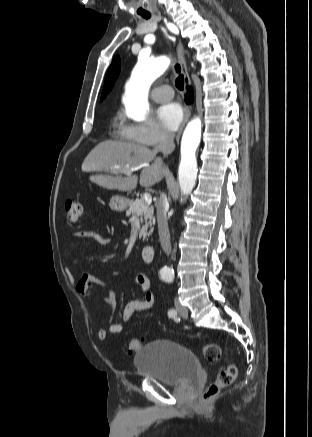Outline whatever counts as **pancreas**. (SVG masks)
<instances>
[{"instance_id":"pancreas-1","label":"pancreas","mask_w":312,"mask_h":437,"mask_svg":"<svg viewBox=\"0 0 312 437\" xmlns=\"http://www.w3.org/2000/svg\"><path fill=\"white\" fill-rule=\"evenodd\" d=\"M153 214V207L148 204L143 197L132 201L129 209L126 211L127 216L136 215L139 217L140 222L142 223L139 237L143 238V240L153 232V225L155 224V217ZM149 228L150 230L148 231Z\"/></svg>"}]
</instances>
